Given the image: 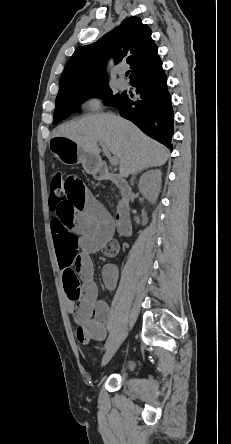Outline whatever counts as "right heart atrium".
I'll return each mask as SVG.
<instances>
[{
  "instance_id": "obj_1",
  "label": "right heart atrium",
  "mask_w": 231,
  "mask_h": 444,
  "mask_svg": "<svg viewBox=\"0 0 231 444\" xmlns=\"http://www.w3.org/2000/svg\"><path fill=\"white\" fill-rule=\"evenodd\" d=\"M102 104H103V99L101 96L97 94L89 95L84 100V107L90 111H95L100 109Z\"/></svg>"
}]
</instances>
